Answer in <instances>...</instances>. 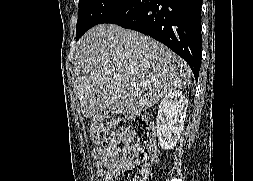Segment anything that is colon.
<instances>
[{"label": "colon", "instance_id": "obj_1", "mask_svg": "<svg viewBox=\"0 0 253 181\" xmlns=\"http://www.w3.org/2000/svg\"><path fill=\"white\" fill-rule=\"evenodd\" d=\"M95 141L105 148H113L125 141L124 158L107 181H147L155 159L154 125L144 116L108 114L92 124Z\"/></svg>", "mask_w": 253, "mask_h": 181}]
</instances>
